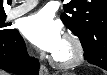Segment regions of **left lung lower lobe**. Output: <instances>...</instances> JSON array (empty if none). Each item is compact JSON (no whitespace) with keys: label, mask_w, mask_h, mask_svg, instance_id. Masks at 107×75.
I'll use <instances>...</instances> for the list:
<instances>
[{"label":"left lung lower lobe","mask_w":107,"mask_h":75,"mask_svg":"<svg viewBox=\"0 0 107 75\" xmlns=\"http://www.w3.org/2000/svg\"><path fill=\"white\" fill-rule=\"evenodd\" d=\"M96 47L94 51L85 59L94 65L107 70V43L103 40L96 39Z\"/></svg>","instance_id":"obj_1"}]
</instances>
